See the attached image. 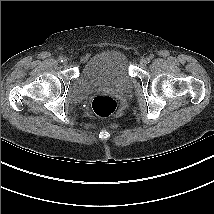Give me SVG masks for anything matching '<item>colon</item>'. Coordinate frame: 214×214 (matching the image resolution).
<instances>
[{"instance_id":"5ec220e1","label":"colon","mask_w":214,"mask_h":214,"mask_svg":"<svg viewBox=\"0 0 214 214\" xmlns=\"http://www.w3.org/2000/svg\"><path fill=\"white\" fill-rule=\"evenodd\" d=\"M117 107V99L109 95L96 96L92 101L93 111L102 118H109Z\"/></svg>"}]
</instances>
